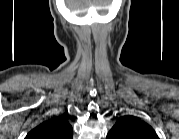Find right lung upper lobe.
<instances>
[{"mask_svg":"<svg viewBox=\"0 0 179 139\" xmlns=\"http://www.w3.org/2000/svg\"><path fill=\"white\" fill-rule=\"evenodd\" d=\"M72 137L73 129L63 117L47 120L39 124L27 135L28 139H72Z\"/></svg>","mask_w":179,"mask_h":139,"instance_id":"cb5924a9","label":"right lung upper lobe"}]
</instances>
